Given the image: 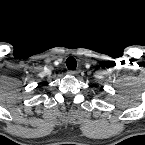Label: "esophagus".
Wrapping results in <instances>:
<instances>
[{
	"instance_id": "1",
	"label": "esophagus",
	"mask_w": 145,
	"mask_h": 145,
	"mask_svg": "<svg viewBox=\"0 0 145 145\" xmlns=\"http://www.w3.org/2000/svg\"><path fill=\"white\" fill-rule=\"evenodd\" d=\"M80 72V70H69L68 74L71 76L77 75Z\"/></svg>"
}]
</instances>
